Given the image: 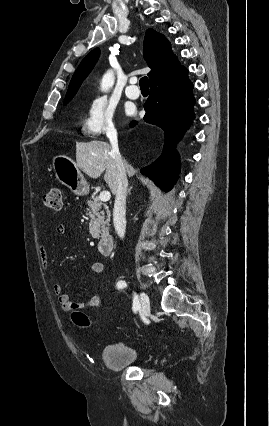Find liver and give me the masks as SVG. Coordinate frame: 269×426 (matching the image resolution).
Wrapping results in <instances>:
<instances>
[{"label":"liver","mask_w":269,"mask_h":426,"mask_svg":"<svg viewBox=\"0 0 269 426\" xmlns=\"http://www.w3.org/2000/svg\"><path fill=\"white\" fill-rule=\"evenodd\" d=\"M76 164L89 177L96 179L105 171L104 180L111 192L117 187V167L111 147L103 141L79 142L76 144ZM127 173L133 176L136 171L128 165Z\"/></svg>","instance_id":"obj_1"}]
</instances>
